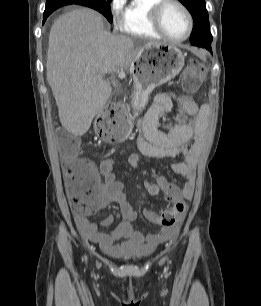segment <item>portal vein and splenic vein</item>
Returning <instances> with one entry per match:
<instances>
[{"label":"portal vein and splenic vein","mask_w":261,"mask_h":306,"mask_svg":"<svg viewBox=\"0 0 261 306\" xmlns=\"http://www.w3.org/2000/svg\"><path fill=\"white\" fill-rule=\"evenodd\" d=\"M123 74H124L123 71H121V72H120V75H123Z\"/></svg>","instance_id":"18ae733b"}]
</instances>
